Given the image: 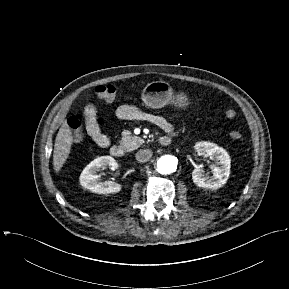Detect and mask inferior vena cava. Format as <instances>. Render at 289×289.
Wrapping results in <instances>:
<instances>
[{"mask_svg":"<svg viewBox=\"0 0 289 289\" xmlns=\"http://www.w3.org/2000/svg\"><path fill=\"white\" fill-rule=\"evenodd\" d=\"M153 152L150 149H140L136 154V160L138 162H147L152 157Z\"/></svg>","mask_w":289,"mask_h":289,"instance_id":"602c4592","label":"inferior vena cava"}]
</instances>
